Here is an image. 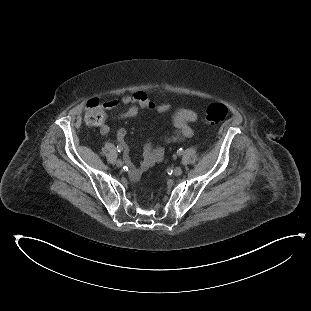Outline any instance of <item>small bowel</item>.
Returning a JSON list of instances; mask_svg holds the SVG:
<instances>
[{"instance_id":"small-bowel-1","label":"small bowel","mask_w":311,"mask_h":311,"mask_svg":"<svg viewBox=\"0 0 311 311\" xmlns=\"http://www.w3.org/2000/svg\"><path fill=\"white\" fill-rule=\"evenodd\" d=\"M107 110L115 109L120 106L124 107V111L118 115L119 120H125L138 115L140 110H152L159 114L168 113L172 106L169 103L156 104L145 93L138 92L124 96L120 99L107 100L103 104ZM198 115L196 112L189 109H178L173 117L174 131L165 138V144H172L181 141L184 138H190L193 135V130L190 123L196 122ZM102 135L107 136L110 133V127L107 124H102L100 127ZM126 129L120 128L116 132V138L119 143H125ZM165 155V146H152L147 143L144 146L143 158L139 167L134 171L135 175L147 171L154 164L162 161Z\"/></svg>"}]
</instances>
